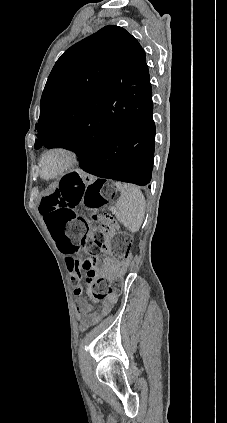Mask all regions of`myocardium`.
<instances>
[{"mask_svg":"<svg viewBox=\"0 0 227 423\" xmlns=\"http://www.w3.org/2000/svg\"><path fill=\"white\" fill-rule=\"evenodd\" d=\"M53 154L61 155L64 158V161L61 168L55 174L46 176L44 173V163L46 159ZM79 164L80 155L74 148L67 145H56L47 148L41 154L39 159V171L42 178L46 180H54L73 172Z\"/></svg>","mask_w":227,"mask_h":423,"instance_id":"1","label":"myocardium"}]
</instances>
